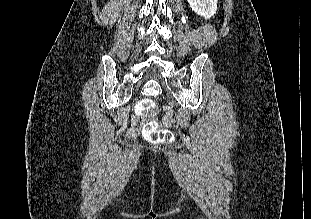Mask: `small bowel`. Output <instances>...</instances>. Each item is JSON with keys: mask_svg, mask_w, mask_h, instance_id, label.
<instances>
[{"mask_svg": "<svg viewBox=\"0 0 311 219\" xmlns=\"http://www.w3.org/2000/svg\"><path fill=\"white\" fill-rule=\"evenodd\" d=\"M166 113L169 114V112L167 110H166ZM138 122H139V117L134 116L132 118V124H131V127L129 129L130 134L134 135L138 132V128H137ZM164 124L169 125V119L168 118L164 119Z\"/></svg>", "mask_w": 311, "mask_h": 219, "instance_id": "c3829d8e", "label": "small bowel"}]
</instances>
